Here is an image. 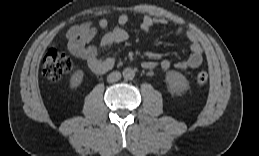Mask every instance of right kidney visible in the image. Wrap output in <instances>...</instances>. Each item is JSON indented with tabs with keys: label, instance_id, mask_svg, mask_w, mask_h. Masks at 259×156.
I'll list each match as a JSON object with an SVG mask.
<instances>
[{
	"label": "right kidney",
	"instance_id": "1",
	"mask_svg": "<svg viewBox=\"0 0 259 156\" xmlns=\"http://www.w3.org/2000/svg\"><path fill=\"white\" fill-rule=\"evenodd\" d=\"M84 72L82 70L76 71L70 78V88H77L83 81Z\"/></svg>",
	"mask_w": 259,
	"mask_h": 156
}]
</instances>
